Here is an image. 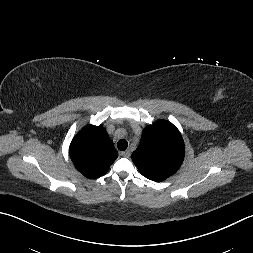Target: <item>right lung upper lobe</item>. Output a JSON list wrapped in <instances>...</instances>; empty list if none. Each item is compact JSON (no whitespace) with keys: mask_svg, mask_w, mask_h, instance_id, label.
I'll return each instance as SVG.
<instances>
[{"mask_svg":"<svg viewBox=\"0 0 253 253\" xmlns=\"http://www.w3.org/2000/svg\"><path fill=\"white\" fill-rule=\"evenodd\" d=\"M69 151L76 169L90 179L104 175L118 157L103 125H89L78 132Z\"/></svg>","mask_w":253,"mask_h":253,"instance_id":"right-lung-upper-lobe-1","label":"right lung upper lobe"}]
</instances>
